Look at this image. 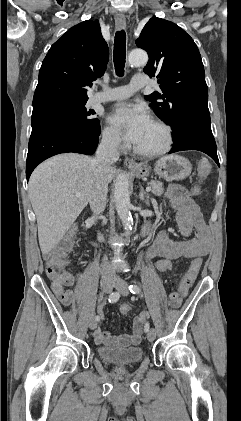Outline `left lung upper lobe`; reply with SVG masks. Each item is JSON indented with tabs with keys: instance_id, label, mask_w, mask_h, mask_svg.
Segmentation results:
<instances>
[{
	"instance_id": "5c2ea615",
	"label": "left lung upper lobe",
	"mask_w": 241,
	"mask_h": 421,
	"mask_svg": "<svg viewBox=\"0 0 241 421\" xmlns=\"http://www.w3.org/2000/svg\"><path fill=\"white\" fill-rule=\"evenodd\" d=\"M147 51L144 72L156 76L162 90L145 97L155 114L172 129L173 139L199 116H209L208 88L199 50L175 23L153 17L136 40Z\"/></svg>"
}]
</instances>
